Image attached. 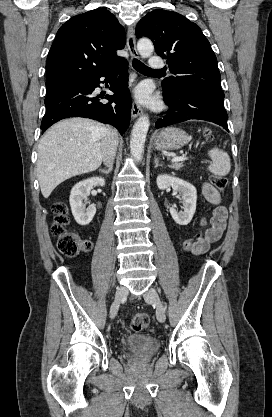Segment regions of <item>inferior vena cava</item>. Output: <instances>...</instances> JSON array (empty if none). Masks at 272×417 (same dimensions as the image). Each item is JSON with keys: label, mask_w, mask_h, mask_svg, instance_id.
<instances>
[{"label": "inferior vena cava", "mask_w": 272, "mask_h": 417, "mask_svg": "<svg viewBox=\"0 0 272 417\" xmlns=\"http://www.w3.org/2000/svg\"><path fill=\"white\" fill-rule=\"evenodd\" d=\"M106 135L103 140V162L109 167L113 165L118 145V132L115 129L108 127Z\"/></svg>", "instance_id": "obj_1"}]
</instances>
